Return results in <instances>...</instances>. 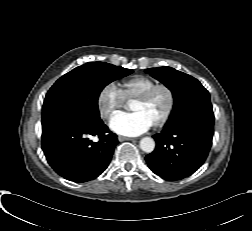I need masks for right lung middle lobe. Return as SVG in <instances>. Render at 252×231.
<instances>
[{
  "instance_id": "right-lung-middle-lobe-1",
  "label": "right lung middle lobe",
  "mask_w": 252,
  "mask_h": 231,
  "mask_svg": "<svg viewBox=\"0 0 252 231\" xmlns=\"http://www.w3.org/2000/svg\"><path fill=\"white\" fill-rule=\"evenodd\" d=\"M131 69L104 62H89L63 75L48 91L43 104L42 128L59 119L100 120L98 96Z\"/></svg>"
}]
</instances>
